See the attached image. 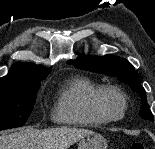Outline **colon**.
<instances>
[{"label": "colon", "mask_w": 155, "mask_h": 149, "mask_svg": "<svg viewBox=\"0 0 155 149\" xmlns=\"http://www.w3.org/2000/svg\"><path fill=\"white\" fill-rule=\"evenodd\" d=\"M129 149H147V147L143 143L136 142V143L131 144L129 146Z\"/></svg>", "instance_id": "colon-1"}]
</instances>
